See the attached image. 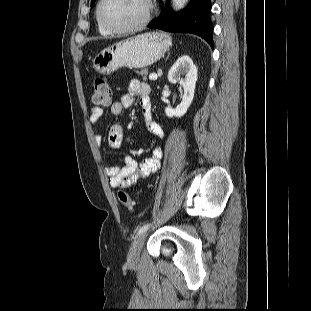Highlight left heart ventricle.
<instances>
[{
  "label": "left heart ventricle",
  "instance_id": "b2bd125f",
  "mask_svg": "<svg viewBox=\"0 0 311 311\" xmlns=\"http://www.w3.org/2000/svg\"><path fill=\"white\" fill-rule=\"evenodd\" d=\"M145 9V0H106L102 15L111 25L126 28L139 22Z\"/></svg>",
  "mask_w": 311,
  "mask_h": 311
}]
</instances>
